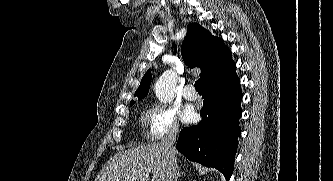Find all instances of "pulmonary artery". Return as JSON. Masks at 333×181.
<instances>
[{
    "label": "pulmonary artery",
    "instance_id": "e3ab8cb5",
    "mask_svg": "<svg viewBox=\"0 0 333 181\" xmlns=\"http://www.w3.org/2000/svg\"><path fill=\"white\" fill-rule=\"evenodd\" d=\"M183 96L185 99L193 101L197 98V93L192 85H187L183 90Z\"/></svg>",
    "mask_w": 333,
    "mask_h": 181
}]
</instances>
